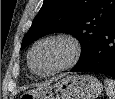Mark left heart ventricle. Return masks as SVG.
<instances>
[{
  "label": "left heart ventricle",
  "mask_w": 115,
  "mask_h": 99,
  "mask_svg": "<svg viewBox=\"0 0 115 99\" xmlns=\"http://www.w3.org/2000/svg\"><path fill=\"white\" fill-rule=\"evenodd\" d=\"M72 50L64 41H49L41 44L33 54V64L39 72H49L65 64Z\"/></svg>",
  "instance_id": "1"
}]
</instances>
